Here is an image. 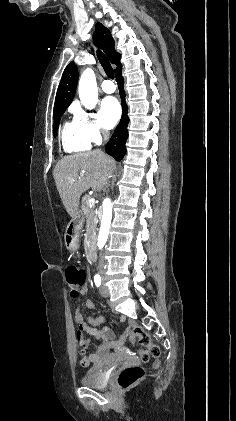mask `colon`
<instances>
[{"instance_id": "5ec220e1", "label": "colon", "mask_w": 236, "mask_h": 421, "mask_svg": "<svg viewBox=\"0 0 236 421\" xmlns=\"http://www.w3.org/2000/svg\"><path fill=\"white\" fill-rule=\"evenodd\" d=\"M66 279L71 296L74 298L79 297L85 285V271L76 265L69 266L66 269ZM131 340L141 346L138 354L142 361L147 362L150 358H158L160 356V348L152 343L150 335L142 328L138 326L133 327ZM144 374L142 367L138 365L129 366L119 373L118 384L122 389L127 390L140 381Z\"/></svg>"}]
</instances>
